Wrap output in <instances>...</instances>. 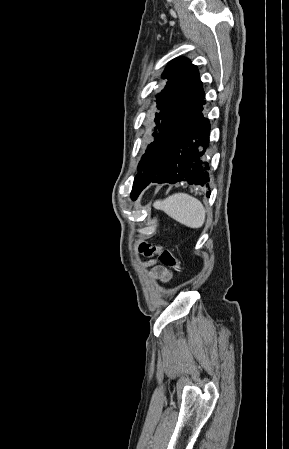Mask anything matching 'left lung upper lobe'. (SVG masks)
I'll use <instances>...</instances> for the list:
<instances>
[{"label": "left lung upper lobe", "mask_w": 289, "mask_h": 449, "mask_svg": "<svg viewBox=\"0 0 289 449\" xmlns=\"http://www.w3.org/2000/svg\"><path fill=\"white\" fill-rule=\"evenodd\" d=\"M163 78L167 79V84L157 99L159 112L154 119V141L148 145L139 162L132 193L142 182L160 172L165 159L166 140L189 120L204 96L197 67L186 58L172 60Z\"/></svg>", "instance_id": "obj_1"}]
</instances>
